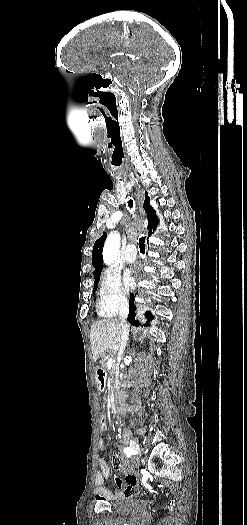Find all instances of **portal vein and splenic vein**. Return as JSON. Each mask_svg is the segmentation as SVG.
Listing matches in <instances>:
<instances>
[{
    "label": "portal vein and splenic vein",
    "instance_id": "1",
    "mask_svg": "<svg viewBox=\"0 0 247 525\" xmlns=\"http://www.w3.org/2000/svg\"><path fill=\"white\" fill-rule=\"evenodd\" d=\"M114 361H115V358L113 356H109L107 358V363H106V366H108L107 370H111V366H113ZM107 383H110V377H107Z\"/></svg>",
    "mask_w": 247,
    "mask_h": 525
}]
</instances>
